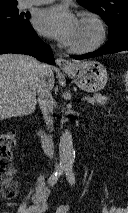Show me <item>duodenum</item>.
<instances>
[{
  "instance_id": "obj_1",
  "label": "duodenum",
  "mask_w": 128,
  "mask_h": 213,
  "mask_svg": "<svg viewBox=\"0 0 128 213\" xmlns=\"http://www.w3.org/2000/svg\"><path fill=\"white\" fill-rule=\"evenodd\" d=\"M37 134L41 138L43 147L48 154H52L54 150V143L51 136L44 131L37 129Z\"/></svg>"
}]
</instances>
